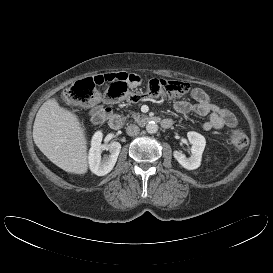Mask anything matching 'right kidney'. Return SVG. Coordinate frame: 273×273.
<instances>
[{"label": "right kidney", "mask_w": 273, "mask_h": 273, "mask_svg": "<svg viewBox=\"0 0 273 273\" xmlns=\"http://www.w3.org/2000/svg\"><path fill=\"white\" fill-rule=\"evenodd\" d=\"M102 136L100 131L93 135L88 156L90 170L98 176H104L111 172L121 150L119 142L101 144ZM104 150L109 151L110 154L102 157L101 154Z\"/></svg>", "instance_id": "ca27d5eb"}]
</instances>
